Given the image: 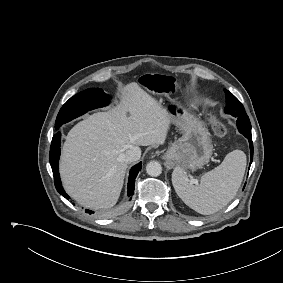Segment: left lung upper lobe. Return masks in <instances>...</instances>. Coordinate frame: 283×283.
<instances>
[{
  "label": "left lung upper lobe",
  "mask_w": 283,
  "mask_h": 283,
  "mask_svg": "<svg viewBox=\"0 0 283 283\" xmlns=\"http://www.w3.org/2000/svg\"><path fill=\"white\" fill-rule=\"evenodd\" d=\"M224 91L227 101L225 112L233 115L234 117L242 116L243 114L247 115L241 102L228 90L225 89Z\"/></svg>",
  "instance_id": "obj_1"
}]
</instances>
